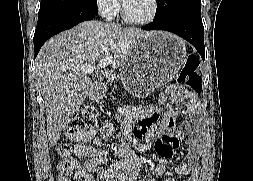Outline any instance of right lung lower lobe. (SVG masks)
<instances>
[{"label": "right lung lower lobe", "instance_id": "98d812e1", "mask_svg": "<svg viewBox=\"0 0 253 181\" xmlns=\"http://www.w3.org/2000/svg\"><path fill=\"white\" fill-rule=\"evenodd\" d=\"M98 13L82 6L68 7L38 17L34 34L35 57L42 45L55 34L70 29L80 22L90 20Z\"/></svg>", "mask_w": 253, "mask_h": 181}]
</instances>
